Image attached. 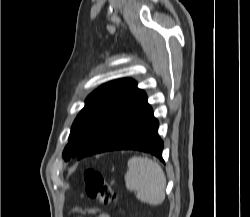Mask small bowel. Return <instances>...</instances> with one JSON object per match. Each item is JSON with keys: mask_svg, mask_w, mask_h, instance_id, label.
Masks as SVG:
<instances>
[{"mask_svg": "<svg viewBox=\"0 0 250 217\" xmlns=\"http://www.w3.org/2000/svg\"><path fill=\"white\" fill-rule=\"evenodd\" d=\"M97 217H110L108 214L100 213L97 215Z\"/></svg>", "mask_w": 250, "mask_h": 217, "instance_id": "c3829d8e", "label": "small bowel"}]
</instances>
